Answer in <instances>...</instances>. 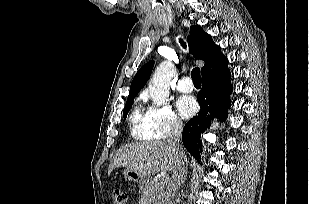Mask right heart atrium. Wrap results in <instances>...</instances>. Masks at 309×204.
Instances as JSON below:
<instances>
[{
	"label": "right heart atrium",
	"instance_id": "obj_1",
	"mask_svg": "<svg viewBox=\"0 0 309 204\" xmlns=\"http://www.w3.org/2000/svg\"><path fill=\"white\" fill-rule=\"evenodd\" d=\"M183 122L168 104H150L146 111L145 134L148 139H164L177 134Z\"/></svg>",
	"mask_w": 309,
	"mask_h": 204
}]
</instances>
